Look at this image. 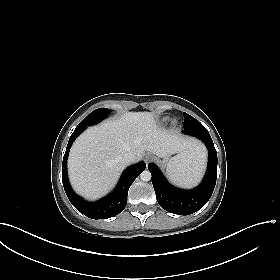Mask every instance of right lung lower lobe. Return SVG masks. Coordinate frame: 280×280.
<instances>
[{"mask_svg":"<svg viewBox=\"0 0 280 280\" xmlns=\"http://www.w3.org/2000/svg\"><path fill=\"white\" fill-rule=\"evenodd\" d=\"M83 130L84 129H75V131L72 133L69 139L66 148L62 164V181L64 190L70 202L82 214L92 219H107L116 216L121 211H123L127 203V194L129 187L134 182V180L140 175V173L145 169L146 164L142 161L136 165L127 168L124 171L115 191L108 197L94 203L84 201L72 190L67 175V158L69 150L74 140Z\"/></svg>","mask_w":280,"mask_h":280,"instance_id":"right-lung-lower-lobe-1","label":"right lung lower lobe"}]
</instances>
